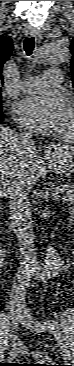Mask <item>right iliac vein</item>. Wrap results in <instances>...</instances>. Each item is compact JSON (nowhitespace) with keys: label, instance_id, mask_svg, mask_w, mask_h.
Segmentation results:
<instances>
[{"label":"right iliac vein","instance_id":"obj_1","mask_svg":"<svg viewBox=\"0 0 74 366\" xmlns=\"http://www.w3.org/2000/svg\"><path fill=\"white\" fill-rule=\"evenodd\" d=\"M11 317H12V323L14 327H18L19 324H21L23 320V314L20 312L18 308H14L11 310Z\"/></svg>","mask_w":74,"mask_h":366}]
</instances>
